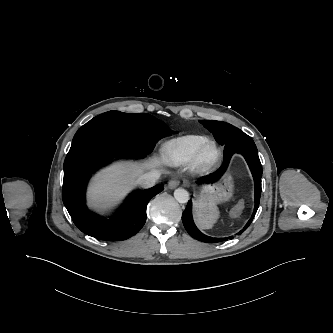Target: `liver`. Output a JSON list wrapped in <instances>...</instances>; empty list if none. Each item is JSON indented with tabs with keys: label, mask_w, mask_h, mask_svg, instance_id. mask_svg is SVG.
Returning <instances> with one entry per match:
<instances>
[{
	"label": "liver",
	"mask_w": 333,
	"mask_h": 333,
	"mask_svg": "<svg viewBox=\"0 0 333 333\" xmlns=\"http://www.w3.org/2000/svg\"><path fill=\"white\" fill-rule=\"evenodd\" d=\"M160 165L158 158L138 164H116L104 170L92 182L89 199L92 206L107 209L114 206L132 187L145 170ZM160 173V172H159Z\"/></svg>",
	"instance_id": "obj_1"
}]
</instances>
